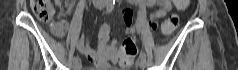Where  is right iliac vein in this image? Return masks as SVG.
Instances as JSON below:
<instances>
[{
	"label": "right iliac vein",
	"instance_id": "1",
	"mask_svg": "<svg viewBox=\"0 0 238 70\" xmlns=\"http://www.w3.org/2000/svg\"><path fill=\"white\" fill-rule=\"evenodd\" d=\"M73 69L74 70H80L81 69V63L79 61L73 62Z\"/></svg>",
	"mask_w": 238,
	"mask_h": 70
}]
</instances>
